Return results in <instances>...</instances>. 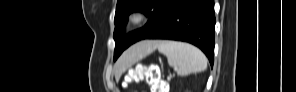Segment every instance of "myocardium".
Returning <instances> with one entry per match:
<instances>
[{
    "instance_id": "f54148a6",
    "label": "myocardium",
    "mask_w": 296,
    "mask_h": 92,
    "mask_svg": "<svg viewBox=\"0 0 296 92\" xmlns=\"http://www.w3.org/2000/svg\"><path fill=\"white\" fill-rule=\"evenodd\" d=\"M144 19L145 15L143 12L135 11L129 15L128 22L129 24L136 26L141 24L144 21Z\"/></svg>"
}]
</instances>
